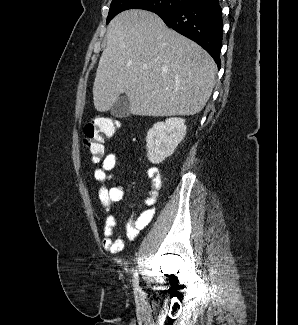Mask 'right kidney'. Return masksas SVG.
I'll return each instance as SVG.
<instances>
[{
  "mask_svg": "<svg viewBox=\"0 0 298 325\" xmlns=\"http://www.w3.org/2000/svg\"><path fill=\"white\" fill-rule=\"evenodd\" d=\"M186 128L185 118H178V116L155 122L146 136L147 156L150 163L159 165L167 156H171L184 138Z\"/></svg>",
  "mask_w": 298,
  "mask_h": 325,
  "instance_id": "right-kidney-1",
  "label": "right kidney"
}]
</instances>
